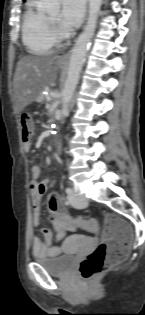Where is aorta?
Instances as JSON below:
<instances>
[{
	"instance_id": "obj_1",
	"label": "aorta",
	"mask_w": 145,
	"mask_h": 315,
	"mask_svg": "<svg viewBox=\"0 0 145 315\" xmlns=\"http://www.w3.org/2000/svg\"><path fill=\"white\" fill-rule=\"evenodd\" d=\"M102 0H89L88 19L83 32L79 35L71 52L67 78L62 91V119L69 113V105L78 84L79 75L88 51L89 44L94 35L98 14ZM43 9L48 13H57L60 9L59 0H44Z\"/></svg>"
}]
</instances>
